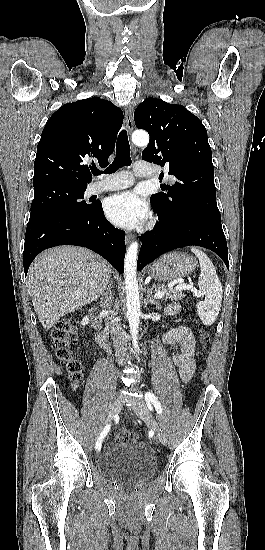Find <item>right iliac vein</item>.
<instances>
[{"instance_id": "63e3f726", "label": "right iliac vein", "mask_w": 265, "mask_h": 550, "mask_svg": "<svg viewBox=\"0 0 265 550\" xmlns=\"http://www.w3.org/2000/svg\"><path fill=\"white\" fill-rule=\"evenodd\" d=\"M121 408H122L121 400L116 399L110 406L109 413H108V418H107L105 424H109L111 422L112 418L120 412ZM102 429H103V427H101L98 430L97 436L102 431ZM97 436L95 437V440L97 439Z\"/></svg>"}]
</instances>
